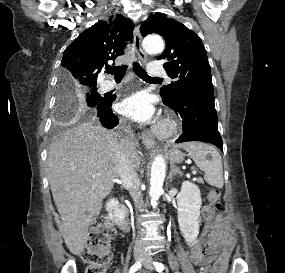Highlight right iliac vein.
I'll return each instance as SVG.
<instances>
[{"instance_id": "1", "label": "right iliac vein", "mask_w": 285, "mask_h": 273, "mask_svg": "<svg viewBox=\"0 0 285 273\" xmlns=\"http://www.w3.org/2000/svg\"><path fill=\"white\" fill-rule=\"evenodd\" d=\"M144 258V255L142 253H135L134 259L135 261H140Z\"/></svg>"}]
</instances>
